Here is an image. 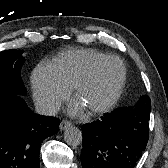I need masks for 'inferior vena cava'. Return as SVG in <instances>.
<instances>
[{
  "label": "inferior vena cava",
  "instance_id": "602c4592",
  "mask_svg": "<svg viewBox=\"0 0 168 168\" xmlns=\"http://www.w3.org/2000/svg\"><path fill=\"white\" fill-rule=\"evenodd\" d=\"M35 110L40 115L54 116L59 111V105L53 102H37Z\"/></svg>",
  "mask_w": 168,
  "mask_h": 168
}]
</instances>
